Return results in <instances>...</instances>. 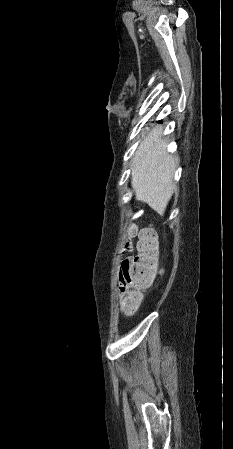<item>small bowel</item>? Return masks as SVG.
I'll use <instances>...</instances> for the list:
<instances>
[{"label":"small bowel","instance_id":"c3829d8e","mask_svg":"<svg viewBox=\"0 0 233 449\" xmlns=\"http://www.w3.org/2000/svg\"><path fill=\"white\" fill-rule=\"evenodd\" d=\"M118 291L121 295L127 296L128 298L131 294V286L127 278V273L122 268V266L120 268L118 276Z\"/></svg>","mask_w":233,"mask_h":449}]
</instances>
